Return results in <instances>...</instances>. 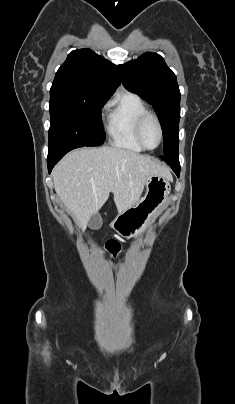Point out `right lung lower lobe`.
Returning a JSON list of instances; mask_svg holds the SVG:
<instances>
[{"mask_svg": "<svg viewBox=\"0 0 235 404\" xmlns=\"http://www.w3.org/2000/svg\"><path fill=\"white\" fill-rule=\"evenodd\" d=\"M83 147L81 144L77 143H61V144H56L52 147H49V152H48V158H47V163H48V172L50 173L55 166V164L69 151Z\"/></svg>", "mask_w": 235, "mask_h": 404, "instance_id": "obj_1", "label": "right lung lower lobe"}]
</instances>
